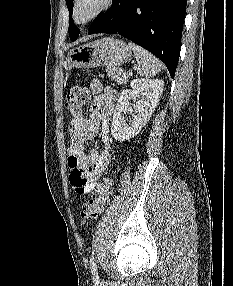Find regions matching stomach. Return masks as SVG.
I'll list each match as a JSON object with an SVG mask.
<instances>
[{"instance_id": "obj_1", "label": "stomach", "mask_w": 233, "mask_h": 286, "mask_svg": "<svg viewBox=\"0 0 233 286\" xmlns=\"http://www.w3.org/2000/svg\"><path fill=\"white\" fill-rule=\"evenodd\" d=\"M130 57L131 51L125 42L107 37L71 49L65 60V69L70 71L73 68L99 66L117 68Z\"/></svg>"}]
</instances>
